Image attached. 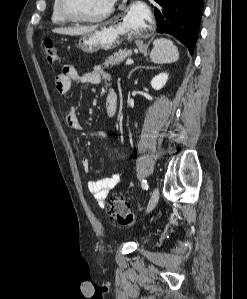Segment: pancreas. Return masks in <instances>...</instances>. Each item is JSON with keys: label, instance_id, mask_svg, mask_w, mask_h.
<instances>
[{"label": "pancreas", "instance_id": "pancreas-1", "mask_svg": "<svg viewBox=\"0 0 247 299\" xmlns=\"http://www.w3.org/2000/svg\"><path fill=\"white\" fill-rule=\"evenodd\" d=\"M129 56H130V52H128L126 50H121V51L109 56L108 59H106L103 62V66L104 67H112L114 65H118L119 63L123 62Z\"/></svg>", "mask_w": 247, "mask_h": 299}]
</instances>
